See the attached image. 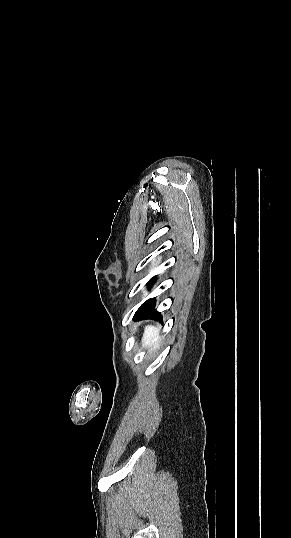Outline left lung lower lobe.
<instances>
[{
	"mask_svg": "<svg viewBox=\"0 0 291 538\" xmlns=\"http://www.w3.org/2000/svg\"><path fill=\"white\" fill-rule=\"evenodd\" d=\"M156 281V278H152L148 282V289L151 288L152 284H154ZM155 298L148 299L145 301L139 309L136 311L134 315V319H152V320H159L162 321V315L160 312L155 310Z\"/></svg>",
	"mask_w": 291,
	"mask_h": 538,
	"instance_id": "0a47b994",
	"label": "left lung lower lobe"
}]
</instances>
